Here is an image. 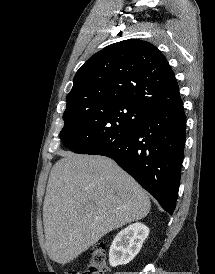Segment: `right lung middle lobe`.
I'll return each mask as SVG.
<instances>
[{
	"instance_id": "1",
	"label": "right lung middle lobe",
	"mask_w": 215,
	"mask_h": 274,
	"mask_svg": "<svg viewBox=\"0 0 215 274\" xmlns=\"http://www.w3.org/2000/svg\"><path fill=\"white\" fill-rule=\"evenodd\" d=\"M146 112L123 101L67 102L60 137L65 147L79 154H88L128 134Z\"/></svg>"
}]
</instances>
